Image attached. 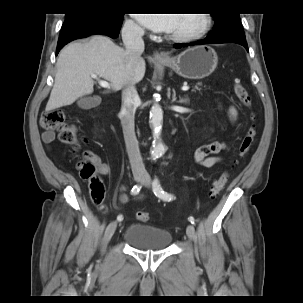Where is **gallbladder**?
<instances>
[{
	"label": "gallbladder",
	"mask_w": 303,
	"mask_h": 303,
	"mask_svg": "<svg viewBox=\"0 0 303 303\" xmlns=\"http://www.w3.org/2000/svg\"><path fill=\"white\" fill-rule=\"evenodd\" d=\"M90 101H91V97H81L77 101V105L82 109H86L90 106Z\"/></svg>",
	"instance_id": "gallbladder-1"
}]
</instances>
